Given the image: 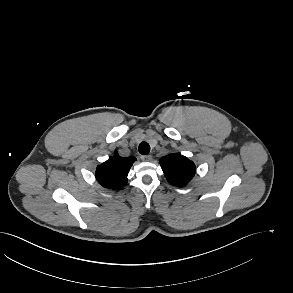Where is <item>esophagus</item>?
I'll use <instances>...</instances> for the list:
<instances>
[{"label": "esophagus", "mask_w": 293, "mask_h": 293, "mask_svg": "<svg viewBox=\"0 0 293 293\" xmlns=\"http://www.w3.org/2000/svg\"><path fill=\"white\" fill-rule=\"evenodd\" d=\"M140 158H141V160L146 161V162L152 160L151 155H142Z\"/></svg>", "instance_id": "1"}]
</instances>
